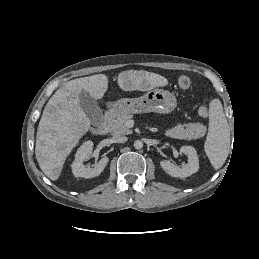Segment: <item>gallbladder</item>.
Here are the masks:
<instances>
[{
  "label": "gallbladder",
  "mask_w": 259,
  "mask_h": 259,
  "mask_svg": "<svg viewBox=\"0 0 259 259\" xmlns=\"http://www.w3.org/2000/svg\"><path fill=\"white\" fill-rule=\"evenodd\" d=\"M80 105L90 120V123L99 126L103 122V112L96 99L90 96L85 90L79 95Z\"/></svg>",
  "instance_id": "1"
}]
</instances>
